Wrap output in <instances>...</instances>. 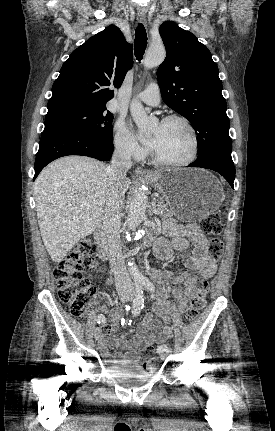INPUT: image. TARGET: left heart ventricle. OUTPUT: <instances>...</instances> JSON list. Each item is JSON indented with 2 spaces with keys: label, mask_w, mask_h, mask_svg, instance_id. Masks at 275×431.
<instances>
[{
  "label": "left heart ventricle",
  "mask_w": 275,
  "mask_h": 431,
  "mask_svg": "<svg viewBox=\"0 0 275 431\" xmlns=\"http://www.w3.org/2000/svg\"><path fill=\"white\" fill-rule=\"evenodd\" d=\"M155 139L153 149L159 157L170 162L187 159L192 150V139L186 127L180 122L158 124L152 130Z\"/></svg>",
  "instance_id": "obj_1"
}]
</instances>
